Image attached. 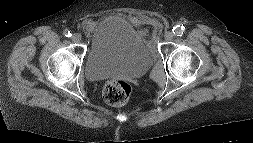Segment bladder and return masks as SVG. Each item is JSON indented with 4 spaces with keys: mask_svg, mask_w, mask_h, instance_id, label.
Masks as SVG:
<instances>
[{
    "mask_svg": "<svg viewBox=\"0 0 253 143\" xmlns=\"http://www.w3.org/2000/svg\"><path fill=\"white\" fill-rule=\"evenodd\" d=\"M88 40L85 72L89 80L113 76L137 78L148 72L154 63L147 37L121 15L112 14L96 20Z\"/></svg>",
    "mask_w": 253,
    "mask_h": 143,
    "instance_id": "obj_1",
    "label": "bladder"
}]
</instances>
